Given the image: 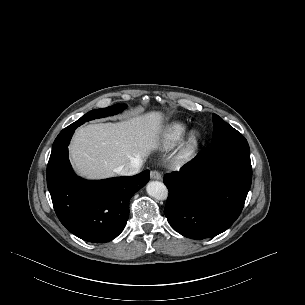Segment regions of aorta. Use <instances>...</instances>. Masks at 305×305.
Listing matches in <instances>:
<instances>
[{
  "instance_id": "1",
  "label": "aorta",
  "mask_w": 305,
  "mask_h": 305,
  "mask_svg": "<svg viewBox=\"0 0 305 305\" xmlns=\"http://www.w3.org/2000/svg\"><path fill=\"white\" fill-rule=\"evenodd\" d=\"M146 191L149 196L157 200H165L168 196L167 187L159 181H151L147 184Z\"/></svg>"
}]
</instances>
